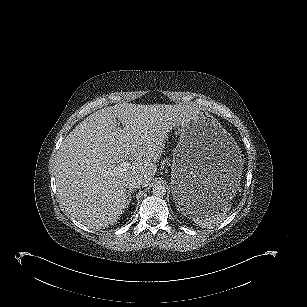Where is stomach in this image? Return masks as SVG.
<instances>
[{"instance_id": "obj_1", "label": "stomach", "mask_w": 307, "mask_h": 307, "mask_svg": "<svg viewBox=\"0 0 307 307\" xmlns=\"http://www.w3.org/2000/svg\"><path fill=\"white\" fill-rule=\"evenodd\" d=\"M243 172L235 140L216 118L192 109L181 123L173 154V199L185 216L198 209L213 212L235 197Z\"/></svg>"}]
</instances>
